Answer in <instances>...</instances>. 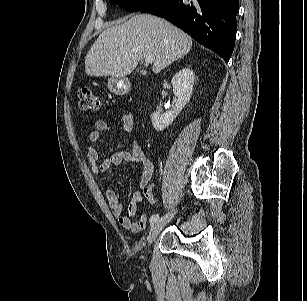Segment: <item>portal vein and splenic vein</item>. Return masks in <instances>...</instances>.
Instances as JSON below:
<instances>
[{
	"label": "portal vein and splenic vein",
	"instance_id": "18ae733b",
	"mask_svg": "<svg viewBox=\"0 0 307 301\" xmlns=\"http://www.w3.org/2000/svg\"><path fill=\"white\" fill-rule=\"evenodd\" d=\"M154 59H152L151 57H146L145 58V63L149 64V63H153Z\"/></svg>",
	"mask_w": 307,
	"mask_h": 301
}]
</instances>
